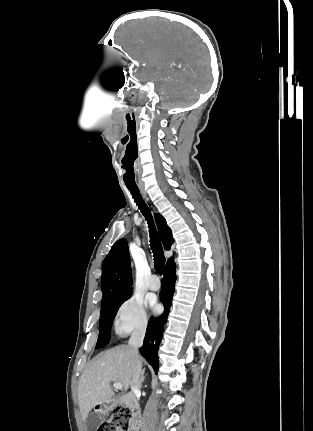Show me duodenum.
Returning <instances> with one entry per match:
<instances>
[{"label": "duodenum", "instance_id": "duodenum-1", "mask_svg": "<svg viewBox=\"0 0 313 431\" xmlns=\"http://www.w3.org/2000/svg\"><path fill=\"white\" fill-rule=\"evenodd\" d=\"M121 402L127 406L132 413V428L138 430L140 426V407L137 399L132 394L125 395Z\"/></svg>", "mask_w": 313, "mask_h": 431}]
</instances>
